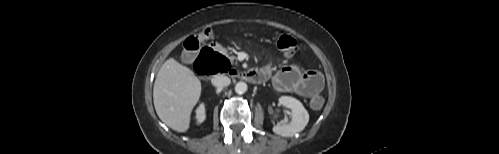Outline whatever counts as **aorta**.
Wrapping results in <instances>:
<instances>
[{"instance_id":"obj_1","label":"aorta","mask_w":499,"mask_h":154,"mask_svg":"<svg viewBox=\"0 0 499 154\" xmlns=\"http://www.w3.org/2000/svg\"><path fill=\"white\" fill-rule=\"evenodd\" d=\"M248 89V86L245 82H238L236 85H235V92L237 94H244Z\"/></svg>"}]
</instances>
